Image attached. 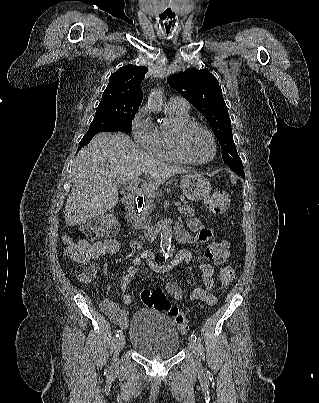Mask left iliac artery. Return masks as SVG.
Masks as SVG:
<instances>
[{"mask_svg":"<svg viewBox=\"0 0 319 403\" xmlns=\"http://www.w3.org/2000/svg\"><path fill=\"white\" fill-rule=\"evenodd\" d=\"M191 338H192L193 340H195V341L197 340V336H196L195 334H192V335H191Z\"/></svg>","mask_w":319,"mask_h":403,"instance_id":"left-iliac-artery-1","label":"left iliac artery"}]
</instances>
